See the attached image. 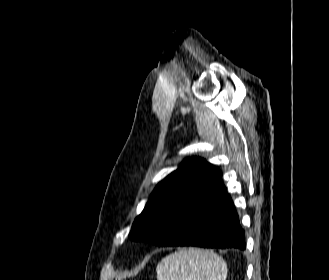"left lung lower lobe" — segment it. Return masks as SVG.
<instances>
[{"label": "left lung lower lobe", "mask_w": 329, "mask_h": 280, "mask_svg": "<svg viewBox=\"0 0 329 280\" xmlns=\"http://www.w3.org/2000/svg\"><path fill=\"white\" fill-rule=\"evenodd\" d=\"M160 235L169 238L166 246L241 250L246 247L244 230L222 184L188 201L174 216L172 224L161 229Z\"/></svg>", "instance_id": "0a47b994"}]
</instances>
